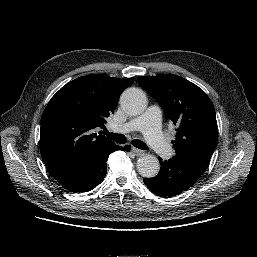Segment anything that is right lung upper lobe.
Wrapping results in <instances>:
<instances>
[{"mask_svg": "<svg viewBox=\"0 0 257 257\" xmlns=\"http://www.w3.org/2000/svg\"><path fill=\"white\" fill-rule=\"evenodd\" d=\"M133 82V77L88 75L67 83L51 98L41 117L40 151L54 178L115 145L94 129L103 127Z\"/></svg>", "mask_w": 257, "mask_h": 257, "instance_id": "right-lung-upper-lobe-1", "label": "right lung upper lobe"}]
</instances>
